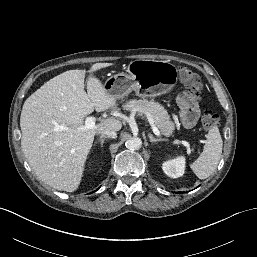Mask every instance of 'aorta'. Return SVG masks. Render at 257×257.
<instances>
[{
	"label": "aorta",
	"instance_id": "1",
	"mask_svg": "<svg viewBox=\"0 0 257 257\" xmlns=\"http://www.w3.org/2000/svg\"><path fill=\"white\" fill-rule=\"evenodd\" d=\"M141 145H142V141L138 137H132L128 139L125 143L126 148L130 150H138L139 148H141Z\"/></svg>",
	"mask_w": 257,
	"mask_h": 257
}]
</instances>
